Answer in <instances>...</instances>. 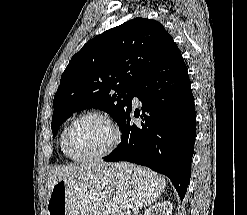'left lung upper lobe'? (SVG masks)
<instances>
[{"mask_svg":"<svg viewBox=\"0 0 247 215\" xmlns=\"http://www.w3.org/2000/svg\"><path fill=\"white\" fill-rule=\"evenodd\" d=\"M171 40L159 22L135 18L88 41L62 74L53 101V135L73 113L89 108L109 113L120 126L135 88Z\"/></svg>","mask_w":247,"mask_h":215,"instance_id":"left-lung-upper-lobe-1","label":"left lung upper lobe"}]
</instances>
